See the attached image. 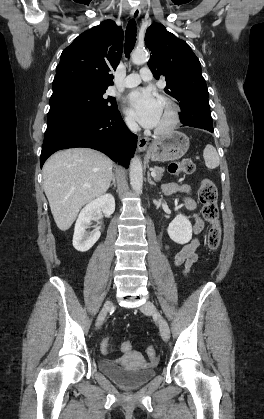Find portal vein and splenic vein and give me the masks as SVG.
Listing matches in <instances>:
<instances>
[{
	"instance_id": "18ae733b",
	"label": "portal vein and splenic vein",
	"mask_w": 264,
	"mask_h": 419,
	"mask_svg": "<svg viewBox=\"0 0 264 419\" xmlns=\"http://www.w3.org/2000/svg\"><path fill=\"white\" fill-rule=\"evenodd\" d=\"M151 176L155 177L156 176V172L154 171V169H151Z\"/></svg>"
}]
</instances>
